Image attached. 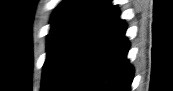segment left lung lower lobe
Segmentation results:
<instances>
[{
	"mask_svg": "<svg viewBox=\"0 0 173 91\" xmlns=\"http://www.w3.org/2000/svg\"><path fill=\"white\" fill-rule=\"evenodd\" d=\"M113 6L73 52L51 91H130L126 25Z\"/></svg>",
	"mask_w": 173,
	"mask_h": 91,
	"instance_id": "0a47b994",
	"label": "left lung lower lobe"
}]
</instances>
